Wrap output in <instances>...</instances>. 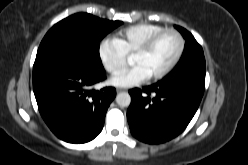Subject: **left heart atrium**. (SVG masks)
<instances>
[{
	"label": "left heart atrium",
	"mask_w": 248,
	"mask_h": 165,
	"mask_svg": "<svg viewBox=\"0 0 248 165\" xmlns=\"http://www.w3.org/2000/svg\"><path fill=\"white\" fill-rule=\"evenodd\" d=\"M150 78L149 73L142 65H134L132 67L119 71L111 78V83L119 87H131L138 85Z\"/></svg>",
	"instance_id": "39dd6f15"
}]
</instances>
